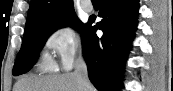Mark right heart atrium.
I'll return each instance as SVG.
<instances>
[{
  "mask_svg": "<svg viewBox=\"0 0 173 91\" xmlns=\"http://www.w3.org/2000/svg\"><path fill=\"white\" fill-rule=\"evenodd\" d=\"M83 39L76 27L65 24L57 27L48 35L46 46L58 60L59 67L70 70L83 50Z\"/></svg>",
  "mask_w": 173,
  "mask_h": 91,
  "instance_id": "obj_1",
  "label": "right heart atrium"
}]
</instances>
